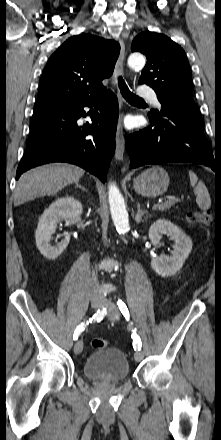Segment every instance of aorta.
Wrapping results in <instances>:
<instances>
[{
	"mask_svg": "<svg viewBox=\"0 0 221 440\" xmlns=\"http://www.w3.org/2000/svg\"><path fill=\"white\" fill-rule=\"evenodd\" d=\"M130 68H142L145 65V57L140 53H132L127 61ZM108 200L113 223L121 234L129 230V218L124 198L118 187L111 183L108 189Z\"/></svg>",
	"mask_w": 221,
	"mask_h": 440,
	"instance_id": "obj_1",
	"label": "aorta"
}]
</instances>
